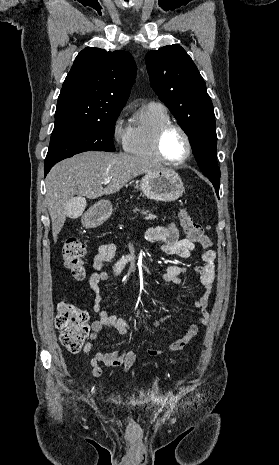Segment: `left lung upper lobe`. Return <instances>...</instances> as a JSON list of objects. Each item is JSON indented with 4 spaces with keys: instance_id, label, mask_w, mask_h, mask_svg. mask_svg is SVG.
<instances>
[{
    "instance_id": "1",
    "label": "left lung upper lobe",
    "mask_w": 279,
    "mask_h": 465,
    "mask_svg": "<svg viewBox=\"0 0 279 465\" xmlns=\"http://www.w3.org/2000/svg\"><path fill=\"white\" fill-rule=\"evenodd\" d=\"M146 66L151 87L188 135L201 171L219 194L214 109L197 67L177 44L148 52Z\"/></svg>"
}]
</instances>
